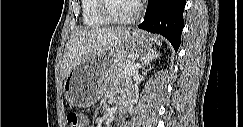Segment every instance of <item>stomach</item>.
<instances>
[{
    "label": "stomach",
    "mask_w": 243,
    "mask_h": 127,
    "mask_svg": "<svg viewBox=\"0 0 243 127\" xmlns=\"http://www.w3.org/2000/svg\"><path fill=\"white\" fill-rule=\"evenodd\" d=\"M153 38L133 30L118 37L103 52L90 56L66 76L63 91L67 102L75 107L95 104L109 81V71L121 61H131L148 56L153 50Z\"/></svg>",
    "instance_id": "0dacf381"
}]
</instances>
